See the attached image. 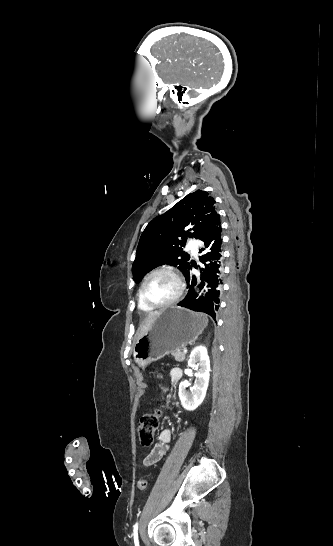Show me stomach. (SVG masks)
<instances>
[{
  "instance_id": "obj_1",
  "label": "stomach",
  "mask_w": 333,
  "mask_h": 546,
  "mask_svg": "<svg viewBox=\"0 0 333 546\" xmlns=\"http://www.w3.org/2000/svg\"><path fill=\"white\" fill-rule=\"evenodd\" d=\"M201 313L170 307L156 317L149 330L133 346L135 363L145 368L174 350L193 343L207 326Z\"/></svg>"
}]
</instances>
